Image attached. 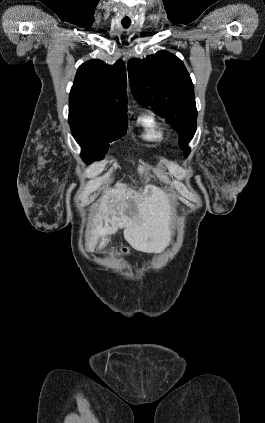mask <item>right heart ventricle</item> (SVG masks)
<instances>
[{"instance_id":"obj_1","label":"right heart ventricle","mask_w":265,"mask_h":423,"mask_svg":"<svg viewBox=\"0 0 265 423\" xmlns=\"http://www.w3.org/2000/svg\"><path fill=\"white\" fill-rule=\"evenodd\" d=\"M138 125L142 128L143 137L147 140H161L164 133L159 119L151 112H144L137 119Z\"/></svg>"}]
</instances>
